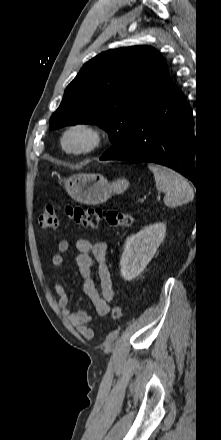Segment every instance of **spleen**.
Returning <instances> with one entry per match:
<instances>
[{"label":"spleen","mask_w":221,"mask_h":440,"mask_svg":"<svg viewBox=\"0 0 221 440\" xmlns=\"http://www.w3.org/2000/svg\"><path fill=\"white\" fill-rule=\"evenodd\" d=\"M148 168L154 174L156 188L165 193L166 206L176 207L193 199V189L182 175L161 165L149 164Z\"/></svg>","instance_id":"3e777b00"}]
</instances>
